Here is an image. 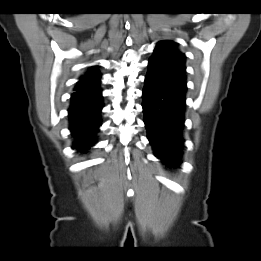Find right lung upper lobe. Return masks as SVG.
Segmentation results:
<instances>
[{
    "mask_svg": "<svg viewBox=\"0 0 261 261\" xmlns=\"http://www.w3.org/2000/svg\"><path fill=\"white\" fill-rule=\"evenodd\" d=\"M100 79L101 74L95 68H91L88 73L81 77L74 90L95 87L100 82Z\"/></svg>",
    "mask_w": 261,
    "mask_h": 261,
    "instance_id": "1",
    "label": "right lung upper lobe"
}]
</instances>
